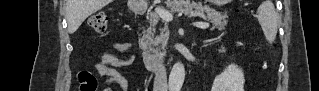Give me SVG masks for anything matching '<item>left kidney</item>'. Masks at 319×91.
Returning a JSON list of instances; mask_svg holds the SVG:
<instances>
[{"instance_id": "left-kidney-1", "label": "left kidney", "mask_w": 319, "mask_h": 91, "mask_svg": "<svg viewBox=\"0 0 319 91\" xmlns=\"http://www.w3.org/2000/svg\"><path fill=\"white\" fill-rule=\"evenodd\" d=\"M244 74L237 65H229L221 74L216 76L212 91H244Z\"/></svg>"}]
</instances>
